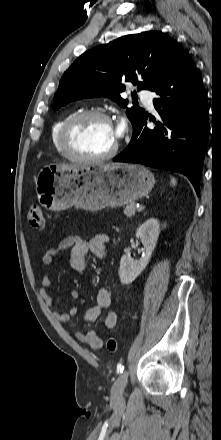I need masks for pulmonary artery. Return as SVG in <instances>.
Wrapping results in <instances>:
<instances>
[{"mask_svg": "<svg viewBox=\"0 0 221 440\" xmlns=\"http://www.w3.org/2000/svg\"><path fill=\"white\" fill-rule=\"evenodd\" d=\"M139 97L142 102L150 109L153 110V98L152 93L148 90H141L139 92Z\"/></svg>", "mask_w": 221, "mask_h": 440, "instance_id": "pulmonary-artery-1", "label": "pulmonary artery"}]
</instances>
